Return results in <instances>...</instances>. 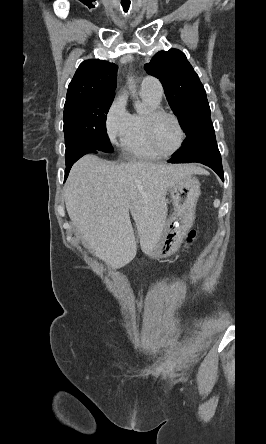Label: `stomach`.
<instances>
[{
	"instance_id": "obj_1",
	"label": "stomach",
	"mask_w": 266,
	"mask_h": 444,
	"mask_svg": "<svg viewBox=\"0 0 266 444\" xmlns=\"http://www.w3.org/2000/svg\"><path fill=\"white\" fill-rule=\"evenodd\" d=\"M170 195L174 212L165 223L159 241L147 254L150 257L169 255L173 251V244L170 242L171 246L167 251L165 244L170 240L183 238L189 230L195 218V208L200 196V182L192 175L186 176L170 188Z\"/></svg>"
}]
</instances>
